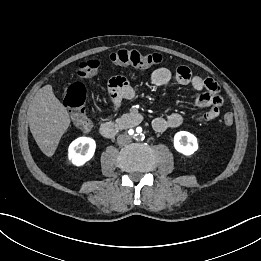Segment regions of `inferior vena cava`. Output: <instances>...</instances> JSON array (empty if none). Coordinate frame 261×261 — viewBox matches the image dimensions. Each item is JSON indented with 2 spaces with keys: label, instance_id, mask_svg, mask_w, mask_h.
Segmentation results:
<instances>
[{
  "label": "inferior vena cava",
  "instance_id": "obj_1",
  "mask_svg": "<svg viewBox=\"0 0 261 261\" xmlns=\"http://www.w3.org/2000/svg\"><path fill=\"white\" fill-rule=\"evenodd\" d=\"M131 142V137L128 134H120L117 137V143L119 145H125L127 143Z\"/></svg>",
  "mask_w": 261,
  "mask_h": 261
}]
</instances>
